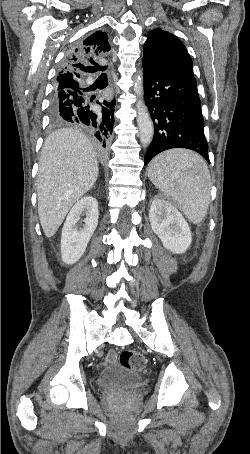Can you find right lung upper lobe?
Masks as SVG:
<instances>
[{"instance_id":"cb5924a9","label":"right lung upper lobe","mask_w":250,"mask_h":454,"mask_svg":"<svg viewBox=\"0 0 250 454\" xmlns=\"http://www.w3.org/2000/svg\"><path fill=\"white\" fill-rule=\"evenodd\" d=\"M109 50L110 45L107 34L102 31H96L68 54L58 73L56 85L63 87L73 83L79 84L84 72L99 70L101 66L95 61L105 58ZM87 65L92 66L86 67Z\"/></svg>"}]
</instances>
